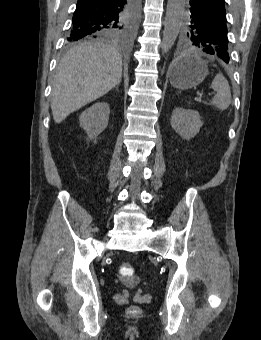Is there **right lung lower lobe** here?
I'll list each match as a JSON object with an SVG mask.
<instances>
[{
  "label": "right lung lower lobe",
  "instance_id": "right-lung-lower-lobe-1",
  "mask_svg": "<svg viewBox=\"0 0 261 340\" xmlns=\"http://www.w3.org/2000/svg\"><path fill=\"white\" fill-rule=\"evenodd\" d=\"M132 0H78L71 31L93 34L119 18Z\"/></svg>",
  "mask_w": 261,
  "mask_h": 340
}]
</instances>
